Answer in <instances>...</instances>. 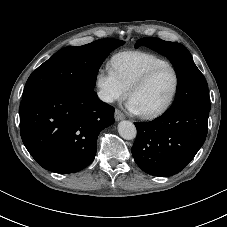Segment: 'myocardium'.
Wrapping results in <instances>:
<instances>
[{
  "label": "myocardium",
  "instance_id": "1",
  "mask_svg": "<svg viewBox=\"0 0 227 227\" xmlns=\"http://www.w3.org/2000/svg\"><path fill=\"white\" fill-rule=\"evenodd\" d=\"M163 69H170L174 74L175 84H174L173 91H172L170 97L168 98V100L165 102V104L162 105L160 108L153 110V111H149V112H138L139 116H141L142 118L151 119V118L158 117V116L164 114L172 106V104L174 103L175 98L177 96V93L179 91V87H180L179 73H178L177 69L169 63L160 65V66H156V67L150 69L149 71H147L145 74H143L128 89V98L130 99L135 91L144 87L158 72H160Z\"/></svg>",
  "mask_w": 227,
  "mask_h": 227
}]
</instances>
